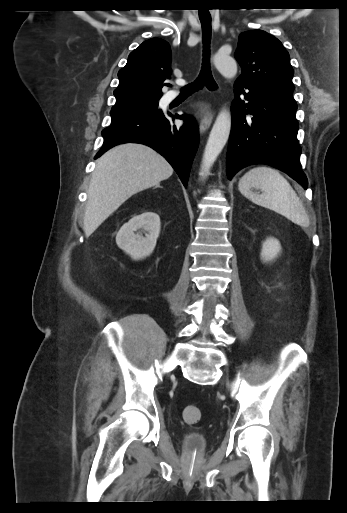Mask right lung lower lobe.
<instances>
[{
	"mask_svg": "<svg viewBox=\"0 0 347 513\" xmlns=\"http://www.w3.org/2000/svg\"><path fill=\"white\" fill-rule=\"evenodd\" d=\"M183 119L176 127L171 119ZM104 144L96 158L111 147L127 143H141L159 152L171 164L184 186H187L191 165L199 145L196 122L185 115L136 113L112 118L111 125L102 131Z\"/></svg>",
	"mask_w": 347,
	"mask_h": 513,
	"instance_id": "1",
	"label": "right lung lower lobe"
}]
</instances>
